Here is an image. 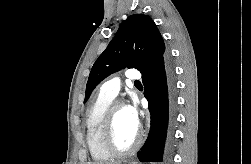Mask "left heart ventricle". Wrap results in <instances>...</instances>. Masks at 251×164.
<instances>
[{"mask_svg": "<svg viewBox=\"0 0 251 164\" xmlns=\"http://www.w3.org/2000/svg\"><path fill=\"white\" fill-rule=\"evenodd\" d=\"M137 128L129 121L125 107H119L115 115V141L120 148L130 147L136 138Z\"/></svg>", "mask_w": 251, "mask_h": 164, "instance_id": "obj_1", "label": "left heart ventricle"}]
</instances>
